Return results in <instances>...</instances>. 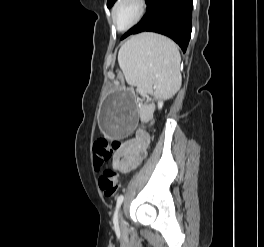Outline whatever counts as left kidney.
<instances>
[{
	"label": "left kidney",
	"mask_w": 264,
	"mask_h": 247,
	"mask_svg": "<svg viewBox=\"0 0 264 247\" xmlns=\"http://www.w3.org/2000/svg\"><path fill=\"white\" fill-rule=\"evenodd\" d=\"M162 106H163V102H161V101H160V102H158V108H159V109H161V108H162Z\"/></svg>",
	"instance_id": "obj_1"
}]
</instances>
